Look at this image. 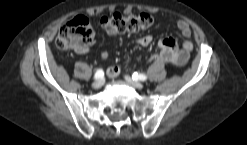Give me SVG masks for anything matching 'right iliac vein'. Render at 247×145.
Returning a JSON list of instances; mask_svg holds the SVG:
<instances>
[{
	"label": "right iliac vein",
	"mask_w": 247,
	"mask_h": 145,
	"mask_svg": "<svg viewBox=\"0 0 247 145\" xmlns=\"http://www.w3.org/2000/svg\"><path fill=\"white\" fill-rule=\"evenodd\" d=\"M102 85H103V80L102 79H98V80L93 82L92 87L94 89H99V88L102 87Z\"/></svg>",
	"instance_id": "right-iliac-vein-1"
}]
</instances>
